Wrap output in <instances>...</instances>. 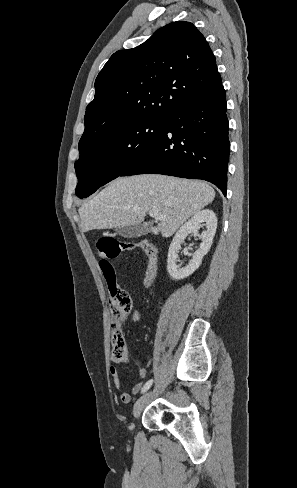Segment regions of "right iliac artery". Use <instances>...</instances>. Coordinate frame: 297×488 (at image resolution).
Listing matches in <instances>:
<instances>
[{
	"label": "right iliac artery",
	"instance_id": "82829eb1",
	"mask_svg": "<svg viewBox=\"0 0 297 488\" xmlns=\"http://www.w3.org/2000/svg\"><path fill=\"white\" fill-rule=\"evenodd\" d=\"M152 383H153V380H152V379H151V380H149V381H147V382L145 383V385L143 386V388H142V390H141V393L146 392V391H147V390H148V389L151 387Z\"/></svg>",
	"mask_w": 297,
	"mask_h": 488
}]
</instances>
